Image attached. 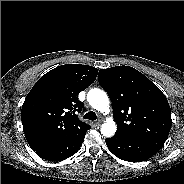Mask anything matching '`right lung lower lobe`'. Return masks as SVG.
Listing matches in <instances>:
<instances>
[{
  "mask_svg": "<svg viewBox=\"0 0 184 184\" xmlns=\"http://www.w3.org/2000/svg\"><path fill=\"white\" fill-rule=\"evenodd\" d=\"M84 137L85 136L73 142L57 145L35 152L39 157L48 161L65 160L74 155L79 150L80 146L83 143Z\"/></svg>",
  "mask_w": 184,
  "mask_h": 184,
  "instance_id": "obj_1",
  "label": "right lung lower lobe"
}]
</instances>
